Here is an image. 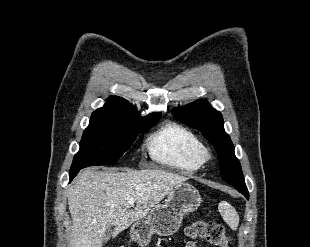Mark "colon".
I'll return each mask as SVG.
<instances>
[{
    "label": "colon",
    "mask_w": 310,
    "mask_h": 247,
    "mask_svg": "<svg viewBox=\"0 0 310 247\" xmlns=\"http://www.w3.org/2000/svg\"><path fill=\"white\" fill-rule=\"evenodd\" d=\"M184 247H196L197 240H204L218 247H229L230 239L223 225L213 221L197 220L186 229Z\"/></svg>",
    "instance_id": "colon-1"
}]
</instances>
